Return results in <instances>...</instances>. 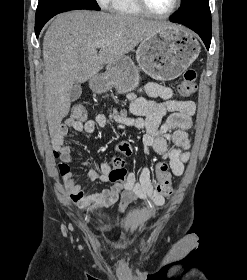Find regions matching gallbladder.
<instances>
[{"mask_svg": "<svg viewBox=\"0 0 247 280\" xmlns=\"http://www.w3.org/2000/svg\"><path fill=\"white\" fill-rule=\"evenodd\" d=\"M82 94V87L80 83H75L71 92H70V100L76 101Z\"/></svg>", "mask_w": 247, "mask_h": 280, "instance_id": "obj_1", "label": "gallbladder"}]
</instances>
